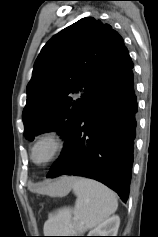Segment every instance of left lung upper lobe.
Segmentation results:
<instances>
[{
    "label": "left lung upper lobe",
    "mask_w": 158,
    "mask_h": 237,
    "mask_svg": "<svg viewBox=\"0 0 158 237\" xmlns=\"http://www.w3.org/2000/svg\"><path fill=\"white\" fill-rule=\"evenodd\" d=\"M133 68L122 37L93 17L68 26L42 48L27 85L25 136L55 130L65 139L88 103Z\"/></svg>",
    "instance_id": "left-lung-upper-lobe-1"
}]
</instances>
